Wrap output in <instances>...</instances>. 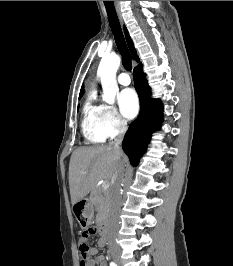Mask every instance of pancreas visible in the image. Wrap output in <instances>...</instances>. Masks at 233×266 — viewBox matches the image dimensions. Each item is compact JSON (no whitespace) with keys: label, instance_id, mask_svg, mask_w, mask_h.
Wrapping results in <instances>:
<instances>
[{"label":"pancreas","instance_id":"1","mask_svg":"<svg viewBox=\"0 0 233 266\" xmlns=\"http://www.w3.org/2000/svg\"><path fill=\"white\" fill-rule=\"evenodd\" d=\"M91 202L97 208L98 220L103 219L107 216L110 205V192L107 189L101 187L94 188L90 195Z\"/></svg>","mask_w":233,"mask_h":266}]
</instances>
